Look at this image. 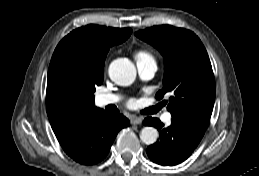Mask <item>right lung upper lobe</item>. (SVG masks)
<instances>
[{
    "mask_svg": "<svg viewBox=\"0 0 259 176\" xmlns=\"http://www.w3.org/2000/svg\"><path fill=\"white\" fill-rule=\"evenodd\" d=\"M131 33L127 28L86 25L57 45L48 69L46 110L59 142L101 111L94 104L93 80L103 77L109 48L124 42Z\"/></svg>",
    "mask_w": 259,
    "mask_h": 176,
    "instance_id": "cb5924a9",
    "label": "right lung upper lobe"
}]
</instances>
